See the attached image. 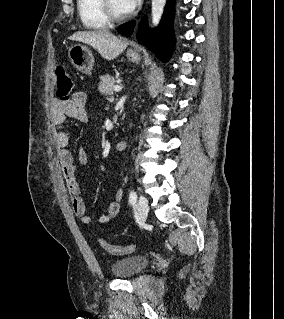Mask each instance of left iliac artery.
<instances>
[{
    "label": "left iliac artery",
    "mask_w": 284,
    "mask_h": 319,
    "mask_svg": "<svg viewBox=\"0 0 284 319\" xmlns=\"http://www.w3.org/2000/svg\"><path fill=\"white\" fill-rule=\"evenodd\" d=\"M136 200H137V195L133 190H131L129 193V203L131 205H134L136 203Z\"/></svg>",
    "instance_id": "1"
}]
</instances>
